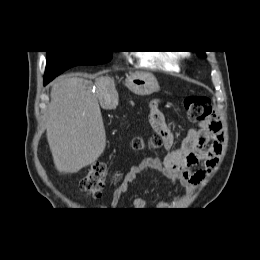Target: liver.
<instances>
[{"instance_id": "obj_1", "label": "liver", "mask_w": 260, "mask_h": 260, "mask_svg": "<svg viewBox=\"0 0 260 260\" xmlns=\"http://www.w3.org/2000/svg\"><path fill=\"white\" fill-rule=\"evenodd\" d=\"M94 85L95 94L93 82L79 77L64 76L52 85L46 135L60 173H77L93 164L106 147L98 101L116 99L117 92L108 76L96 78Z\"/></svg>"}]
</instances>
